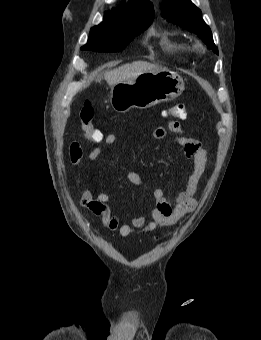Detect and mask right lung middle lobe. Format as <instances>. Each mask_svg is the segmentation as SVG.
Listing matches in <instances>:
<instances>
[{
	"label": "right lung middle lobe",
	"instance_id": "obj_1",
	"mask_svg": "<svg viewBox=\"0 0 261 340\" xmlns=\"http://www.w3.org/2000/svg\"><path fill=\"white\" fill-rule=\"evenodd\" d=\"M152 21H103L90 30L88 42L82 50L117 52L127 46L135 36L146 30Z\"/></svg>",
	"mask_w": 261,
	"mask_h": 340
}]
</instances>
